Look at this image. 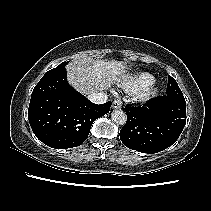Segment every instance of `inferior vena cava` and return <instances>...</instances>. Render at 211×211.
I'll list each match as a JSON object with an SVG mask.
<instances>
[{"label": "inferior vena cava", "instance_id": "602c4592", "mask_svg": "<svg viewBox=\"0 0 211 211\" xmlns=\"http://www.w3.org/2000/svg\"><path fill=\"white\" fill-rule=\"evenodd\" d=\"M107 94L104 92H95L88 95V99L95 104H104L107 101Z\"/></svg>", "mask_w": 211, "mask_h": 211}]
</instances>
